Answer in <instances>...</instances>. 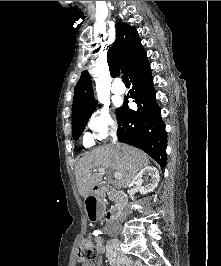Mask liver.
<instances>
[{"mask_svg": "<svg viewBox=\"0 0 221 266\" xmlns=\"http://www.w3.org/2000/svg\"><path fill=\"white\" fill-rule=\"evenodd\" d=\"M150 164L148 156L141 150L129 145H105L85 154L75 166V178L78 191L85 199L102 181V172H93L98 168H109L121 174L119 187L127 188L138 171Z\"/></svg>", "mask_w": 221, "mask_h": 266, "instance_id": "obj_1", "label": "liver"}]
</instances>
